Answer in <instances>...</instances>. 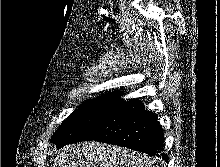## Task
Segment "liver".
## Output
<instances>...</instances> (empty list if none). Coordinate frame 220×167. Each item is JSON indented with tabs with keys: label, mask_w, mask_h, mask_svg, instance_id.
<instances>
[{
	"label": "liver",
	"mask_w": 220,
	"mask_h": 167,
	"mask_svg": "<svg viewBox=\"0 0 220 167\" xmlns=\"http://www.w3.org/2000/svg\"><path fill=\"white\" fill-rule=\"evenodd\" d=\"M146 155L99 142H82L63 147L53 167H148Z\"/></svg>",
	"instance_id": "obj_1"
}]
</instances>
